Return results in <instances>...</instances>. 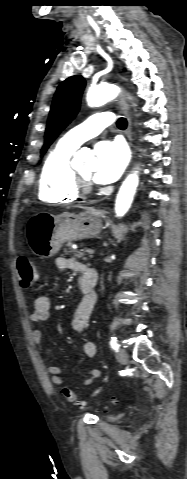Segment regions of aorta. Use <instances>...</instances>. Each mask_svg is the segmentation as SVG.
<instances>
[{"label":"aorta","mask_w":187,"mask_h":479,"mask_svg":"<svg viewBox=\"0 0 187 479\" xmlns=\"http://www.w3.org/2000/svg\"><path fill=\"white\" fill-rule=\"evenodd\" d=\"M118 93L119 88L112 84L91 87L87 92V103L91 107H99L114 99ZM75 159L78 164H81L83 161L81 154H77ZM86 164L90 170H96L98 168V162L95 158L88 160ZM138 183L139 177L136 171L129 174L122 183L115 202V213L117 217L124 216L129 210Z\"/></svg>","instance_id":"aorta-1"}]
</instances>
